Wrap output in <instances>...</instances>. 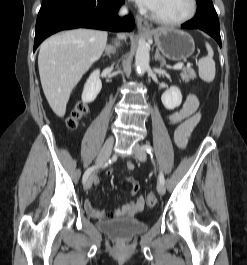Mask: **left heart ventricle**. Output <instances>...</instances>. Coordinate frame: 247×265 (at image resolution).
Wrapping results in <instances>:
<instances>
[{
	"label": "left heart ventricle",
	"mask_w": 247,
	"mask_h": 265,
	"mask_svg": "<svg viewBox=\"0 0 247 265\" xmlns=\"http://www.w3.org/2000/svg\"><path fill=\"white\" fill-rule=\"evenodd\" d=\"M190 6V0H156L151 11L166 19H178L189 12Z\"/></svg>",
	"instance_id": "b2bd125f"
}]
</instances>
